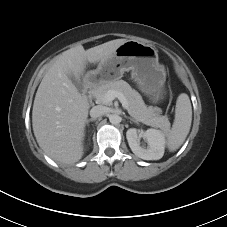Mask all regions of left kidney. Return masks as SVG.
<instances>
[{"label": "left kidney", "instance_id": "obj_1", "mask_svg": "<svg viewBox=\"0 0 227 227\" xmlns=\"http://www.w3.org/2000/svg\"><path fill=\"white\" fill-rule=\"evenodd\" d=\"M140 137L147 140V148L140 146ZM126 138L132 152L144 160H159L164 155L165 136L160 130L148 129L140 132L136 128H130L126 132Z\"/></svg>", "mask_w": 227, "mask_h": 227}]
</instances>
